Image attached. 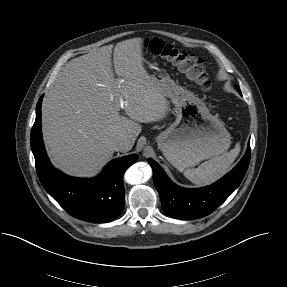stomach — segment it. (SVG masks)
Returning <instances> with one entry per match:
<instances>
[{"label":"stomach","mask_w":287,"mask_h":287,"mask_svg":"<svg viewBox=\"0 0 287 287\" xmlns=\"http://www.w3.org/2000/svg\"><path fill=\"white\" fill-rule=\"evenodd\" d=\"M152 77L171 99L176 112V120L156 137L164 157L183 171L226 152L231 144L230 134L205 103L168 76L154 74Z\"/></svg>","instance_id":"0dacf381"}]
</instances>
